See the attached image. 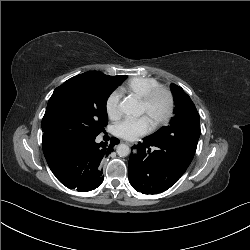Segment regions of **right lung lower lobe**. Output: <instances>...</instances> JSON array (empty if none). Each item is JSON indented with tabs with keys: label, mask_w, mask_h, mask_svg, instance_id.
<instances>
[{
	"label": "right lung lower lobe",
	"mask_w": 250,
	"mask_h": 250,
	"mask_svg": "<svg viewBox=\"0 0 250 250\" xmlns=\"http://www.w3.org/2000/svg\"><path fill=\"white\" fill-rule=\"evenodd\" d=\"M95 138L82 134L43 135L42 147L47 163L66 187L86 192L103 182L102 162L120 141L112 137L109 144H98Z\"/></svg>",
	"instance_id": "1"
}]
</instances>
